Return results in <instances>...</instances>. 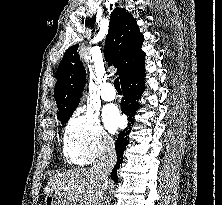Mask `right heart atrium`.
Masks as SVG:
<instances>
[{"label":"right heart atrium","instance_id":"1","mask_svg":"<svg viewBox=\"0 0 222 205\" xmlns=\"http://www.w3.org/2000/svg\"><path fill=\"white\" fill-rule=\"evenodd\" d=\"M63 142L68 159L79 165L90 164L113 147V139L98 117L85 111L76 112L69 120Z\"/></svg>","mask_w":222,"mask_h":205}]
</instances>
